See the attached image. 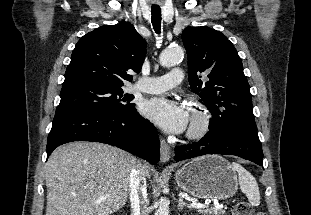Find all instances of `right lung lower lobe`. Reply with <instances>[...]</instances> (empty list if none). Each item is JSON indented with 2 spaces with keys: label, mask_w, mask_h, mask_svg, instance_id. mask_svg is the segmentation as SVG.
<instances>
[{
  "label": "right lung lower lobe",
  "mask_w": 311,
  "mask_h": 215,
  "mask_svg": "<svg viewBox=\"0 0 311 215\" xmlns=\"http://www.w3.org/2000/svg\"><path fill=\"white\" fill-rule=\"evenodd\" d=\"M80 140L117 146L151 164L160 160V141L156 128L137 111L120 115L86 111L55 114L48 136L47 156L62 144Z\"/></svg>",
  "instance_id": "obj_1"
}]
</instances>
